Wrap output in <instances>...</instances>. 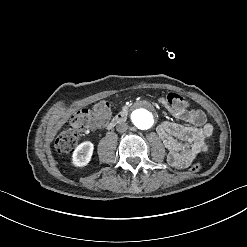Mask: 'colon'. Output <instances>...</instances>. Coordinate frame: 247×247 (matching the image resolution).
Here are the masks:
<instances>
[{
    "label": "colon",
    "mask_w": 247,
    "mask_h": 247,
    "mask_svg": "<svg viewBox=\"0 0 247 247\" xmlns=\"http://www.w3.org/2000/svg\"><path fill=\"white\" fill-rule=\"evenodd\" d=\"M165 99L178 111L185 110L188 107V100L176 95L173 91H168L165 94ZM109 110V103L101 101L90 109H81L73 114L70 121L74 127L66 129L57 136L56 151L63 154L71 153L79 140L80 131L84 128H93L105 123ZM202 168L203 163L200 161L191 166V170L194 172L200 171Z\"/></svg>",
    "instance_id": "1"
}]
</instances>
